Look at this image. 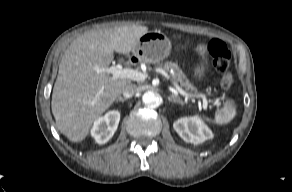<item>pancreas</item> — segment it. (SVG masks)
I'll use <instances>...</instances> for the list:
<instances>
[{"label": "pancreas", "instance_id": "obj_1", "mask_svg": "<svg viewBox=\"0 0 292 192\" xmlns=\"http://www.w3.org/2000/svg\"><path fill=\"white\" fill-rule=\"evenodd\" d=\"M159 68L172 74L173 80L177 84H180L181 87H184L187 91H191L194 96L200 95L198 94L196 89L190 85L189 80L187 79L186 75L182 72V70L179 68L177 63L165 62L164 64H160Z\"/></svg>", "mask_w": 292, "mask_h": 192}]
</instances>
